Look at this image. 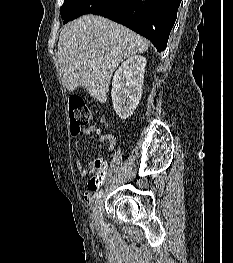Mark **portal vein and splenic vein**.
<instances>
[{
    "label": "portal vein and splenic vein",
    "instance_id": "portal-vein-and-splenic-vein-1",
    "mask_svg": "<svg viewBox=\"0 0 233 263\" xmlns=\"http://www.w3.org/2000/svg\"><path fill=\"white\" fill-rule=\"evenodd\" d=\"M89 64H90L91 66H94V65H95V61H94V60H91V61H89Z\"/></svg>",
    "mask_w": 233,
    "mask_h": 263
}]
</instances>
